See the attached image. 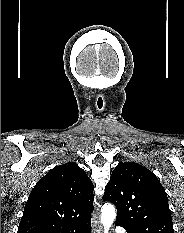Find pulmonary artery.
Returning <instances> with one entry per match:
<instances>
[{"instance_id":"pulmonary-artery-1","label":"pulmonary artery","mask_w":184,"mask_h":233,"mask_svg":"<svg viewBox=\"0 0 184 233\" xmlns=\"http://www.w3.org/2000/svg\"><path fill=\"white\" fill-rule=\"evenodd\" d=\"M116 232L117 233H126V230L124 228H117Z\"/></svg>"}]
</instances>
